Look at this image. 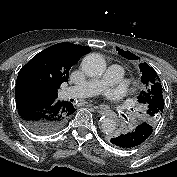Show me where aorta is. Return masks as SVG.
Here are the masks:
<instances>
[{"mask_svg": "<svg viewBox=\"0 0 177 177\" xmlns=\"http://www.w3.org/2000/svg\"><path fill=\"white\" fill-rule=\"evenodd\" d=\"M81 66L86 75L97 77L105 72L106 61L102 55L98 53H90L83 58ZM101 129L106 134L113 133L116 129V121L111 117H103L101 119Z\"/></svg>", "mask_w": 177, "mask_h": 177, "instance_id": "aorta-1", "label": "aorta"}]
</instances>
